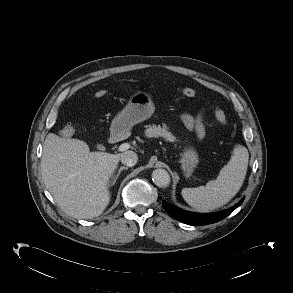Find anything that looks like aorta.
<instances>
[{
    "label": "aorta",
    "instance_id": "obj_1",
    "mask_svg": "<svg viewBox=\"0 0 293 293\" xmlns=\"http://www.w3.org/2000/svg\"><path fill=\"white\" fill-rule=\"evenodd\" d=\"M152 180L158 187H167L170 184V175L164 169H156L152 173Z\"/></svg>",
    "mask_w": 293,
    "mask_h": 293
}]
</instances>
